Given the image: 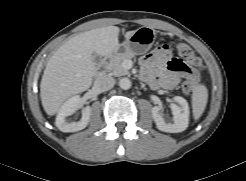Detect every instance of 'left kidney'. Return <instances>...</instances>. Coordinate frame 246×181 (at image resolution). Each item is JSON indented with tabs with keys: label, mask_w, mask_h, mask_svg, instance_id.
I'll return each mask as SVG.
<instances>
[{
	"label": "left kidney",
	"mask_w": 246,
	"mask_h": 181,
	"mask_svg": "<svg viewBox=\"0 0 246 181\" xmlns=\"http://www.w3.org/2000/svg\"><path fill=\"white\" fill-rule=\"evenodd\" d=\"M175 103L171 104V110L173 114V122L167 121L161 108L159 106H154L152 108V117L156 123V127L163 132L168 133H179L184 131L189 124V105L188 102L180 96H175L173 98ZM178 105H177V104Z\"/></svg>",
	"instance_id": "left-kidney-1"
}]
</instances>
